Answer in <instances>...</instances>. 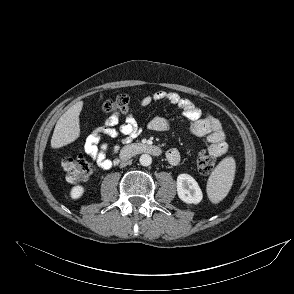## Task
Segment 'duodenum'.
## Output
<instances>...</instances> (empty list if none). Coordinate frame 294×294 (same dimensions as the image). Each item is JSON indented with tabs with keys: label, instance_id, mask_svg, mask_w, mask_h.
Here are the masks:
<instances>
[{
	"label": "duodenum",
	"instance_id": "1",
	"mask_svg": "<svg viewBox=\"0 0 294 294\" xmlns=\"http://www.w3.org/2000/svg\"><path fill=\"white\" fill-rule=\"evenodd\" d=\"M161 153L162 150L158 146L147 143H136L124 147L120 152L119 159L121 161H127L137 154H149L153 156H159L161 155Z\"/></svg>",
	"mask_w": 294,
	"mask_h": 294
}]
</instances>
